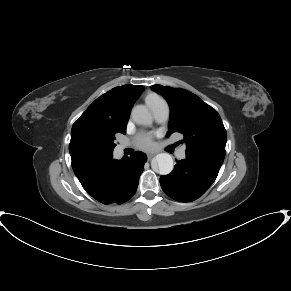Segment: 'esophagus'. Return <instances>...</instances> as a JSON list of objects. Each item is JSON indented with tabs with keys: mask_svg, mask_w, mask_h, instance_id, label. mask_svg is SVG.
<instances>
[{
	"mask_svg": "<svg viewBox=\"0 0 291 291\" xmlns=\"http://www.w3.org/2000/svg\"><path fill=\"white\" fill-rule=\"evenodd\" d=\"M155 155H156V153H148V154H147V157H148V159H151V158H153Z\"/></svg>",
	"mask_w": 291,
	"mask_h": 291,
	"instance_id": "1",
	"label": "esophagus"
}]
</instances>
